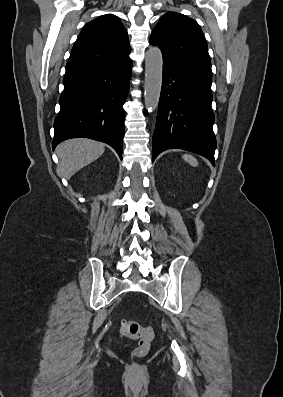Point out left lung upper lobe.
Segmentation results:
<instances>
[{
	"instance_id": "left-lung-upper-lobe-1",
	"label": "left lung upper lobe",
	"mask_w": 283,
	"mask_h": 397,
	"mask_svg": "<svg viewBox=\"0 0 283 397\" xmlns=\"http://www.w3.org/2000/svg\"><path fill=\"white\" fill-rule=\"evenodd\" d=\"M150 43L161 49L164 60L207 84L212 83L207 42L194 19L176 12L164 14L152 30Z\"/></svg>"
}]
</instances>
